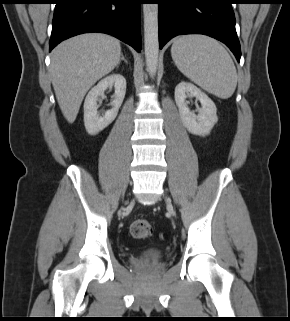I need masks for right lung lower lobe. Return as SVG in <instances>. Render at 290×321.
<instances>
[{
    "label": "right lung lower lobe",
    "mask_w": 290,
    "mask_h": 321,
    "mask_svg": "<svg viewBox=\"0 0 290 321\" xmlns=\"http://www.w3.org/2000/svg\"><path fill=\"white\" fill-rule=\"evenodd\" d=\"M143 0H56L51 51L72 36L101 32L141 51L140 4Z\"/></svg>",
    "instance_id": "1"
}]
</instances>
